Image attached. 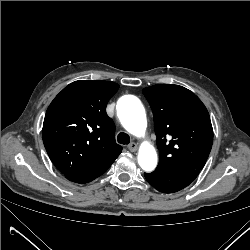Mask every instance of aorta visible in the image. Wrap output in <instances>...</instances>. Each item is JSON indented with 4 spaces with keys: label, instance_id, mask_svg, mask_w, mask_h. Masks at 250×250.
Masks as SVG:
<instances>
[{
    "label": "aorta",
    "instance_id": "1",
    "mask_svg": "<svg viewBox=\"0 0 250 250\" xmlns=\"http://www.w3.org/2000/svg\"><path fill=\"white\" fill-rule=\"evenodd\" d=\"M117 109L121 112L120 120L124 128L131 134H144L147 127L145 108L140 100L132 95L119 99ZM138 164L144 171H153L157 165V153L148 142L142 143L138 153Z\"/></svg>",
    "mask_w": 250,
    "mask_h": 250
}]
</instances>
